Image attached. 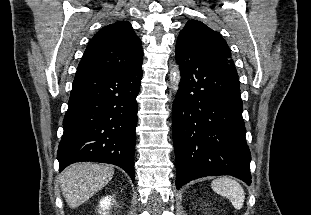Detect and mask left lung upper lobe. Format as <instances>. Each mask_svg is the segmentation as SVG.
Segmentation results:
<instances>
[{
  "label": "left lung upper lobe",
  "mask_w": 311,
  "mask_h": 215,
  "mask_svg": "<svg viewBox=\"0 0 311 215\" xmlns=\"http://www.w3.org/2000/svg\"><path fill=\"white\" fill-rule=\"evenodd\" d=\"M178 39L185 41L195 49L225 63L237 74L231 52L221 34L210 29L197 20H189L184 29L180 31ZM238 75V74H237Z\"/></svg>",
  "instance_id": "1"
}]
</instances>
